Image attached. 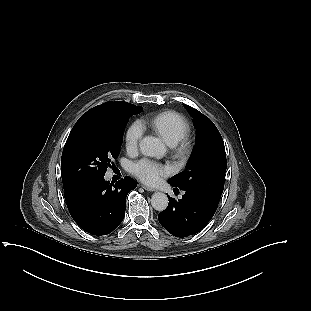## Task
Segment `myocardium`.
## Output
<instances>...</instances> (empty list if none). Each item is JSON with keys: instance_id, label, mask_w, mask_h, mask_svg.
I'll return each mask as SVG.
<instances>
[{"instance_id": "1", "label": "myocardium", "mask_w": 311, "mask_h": 311, "mask_svg": "<svg viewBox=\"0 0 311 311\" xmlns=\"http://www.w3.org/2000/svg\"><path fill=\"white\" fill-rule=\"evenodd\" d=\"M185 148H186V143L183 141V142L181 143L180 150H185Z\"/></svg>"}]
</instances>
